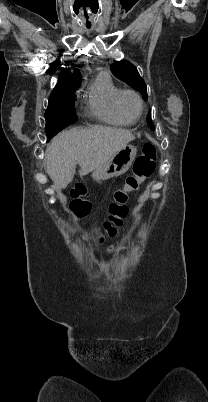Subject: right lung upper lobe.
<instances>
[{"label": "right lung upper lobe", "mask_w": 208, "mask_h": 402, "mask_svg": "<svg viewBox=\"0 0 208 402\" xmlns=\"http://www.w3.org/2000/svg\"><path fill=\"white\" fill-rule=\"evenodd\" d=\"M81 80V74L78 70H75L73 73L63 71L60 74L58 82L50 96L76 90L80 85Z\"/></svg>", "instance_id": "right-lung-upper-lobe-1"}]
</instances>
